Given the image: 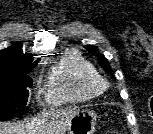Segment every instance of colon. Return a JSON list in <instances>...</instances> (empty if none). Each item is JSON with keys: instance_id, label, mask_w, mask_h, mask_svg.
Segmentation results:
<instances>
[{"instance_id": "5ec220e1", "label": "colon", "mask_w": 153, "mask_h": 134, "mask_svg": "<svg viewBox=\"0 0 153 134\" xmlns=\"http://www.w3.org/2000/svg\"><path fill=\"white\" fill-rule=\"evenodd\" d=\"M105 134H120V133H118L116 131H109V132H106Z\"/></svg>"}]
</instances>
